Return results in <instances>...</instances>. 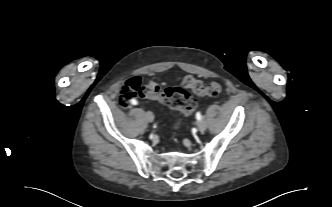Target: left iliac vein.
<instances>
[{
  "mask_svg": "<svg viewBox=\"0 0 332 207\" xmlns=\"http://www.w3.org/2000/svg\"><path fill=\"white\" fill-rule=\"evenodd\" d=\"M197 127L199 131H205L207 128V121L205 119H201L197 122Z\"/></svg>",
  "mask_w": 332,
  "mask_h": 207,
  "instance_id": "4c4485c4",
  "label": "left iliac vein"
}]
</instances>
